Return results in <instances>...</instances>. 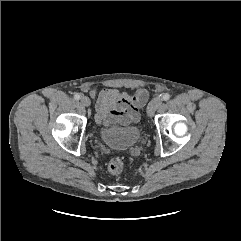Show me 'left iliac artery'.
<instances>
[{"instance_id": "44dca946", "label": "left iliac artery", "mask_w": 241, "mask_h": 241, "mask_svg": "<svg viewBox=\"0 0 241 241\" xmlns=\"http://www.w3.org/2000/svg\"><path fill=\"white\" fill-rule=\"evenodd\" d=\"M162 99H163L164 101H168V100L170 99V95H169L168 93H164V94L162 95Z\"/></svg>"}]
</instances>
